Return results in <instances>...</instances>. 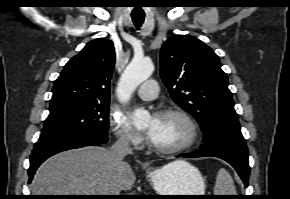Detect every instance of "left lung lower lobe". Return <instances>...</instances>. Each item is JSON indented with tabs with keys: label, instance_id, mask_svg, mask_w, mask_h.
<instances>
[{
	"label": "left lung lower lobe",
	"instance_id": "left-lung-lower-lobe-1",
	"mask_svg": "<svg viewBox=\"0 0 290 199\" xmlns=\"http://www.w3.org/2000/svg\"><path fill=\"white\" fill-rule=\"evenodd\" d=\"M213 156L230 163L238 172L245 187L248 186L250 167L248 150L241 133H220L204 145L197 153H188L181 157Z\"/></svg>",
	"mask_w": 290,
	"mask_h": 199
}]
</instances>
